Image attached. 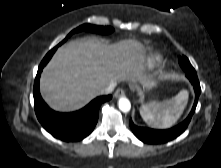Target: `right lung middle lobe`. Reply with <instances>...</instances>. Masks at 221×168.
<instances>
[{
    "instance_id": "dd1d6c3e",
    "label": "right lung middle lobe",
    "mask_w": 221,
    "mask_h": 168,
    "mask_svg": "<svg viewBox=\"0 0 221 168\" xmlns=\"http://www.w3.org/2000/svg\"><path fill=\"white\" fill-rule=\"evenodd\" d=\"M82 31L107 34V33H111L113 31V28L103 27V26H95V25H91V24H84V25H81L78 28L72 30L59 45L63 44L71 35L78 33V32H82Z\"/></svg>"
}]
</instances>
